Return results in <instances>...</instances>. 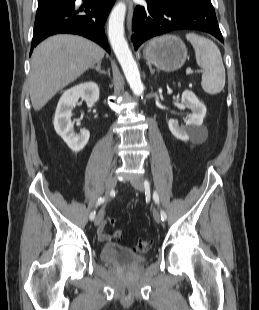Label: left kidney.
<instances>
[{
	"mask_svg": "<svg viewBox=\"0 0 259 310\" xmlns=\"http://www.w3.org/2000/svg\"><path fill=\"white\" fill-rule=\"evenodd\" d=\"M182 104L191 109V114L188 120L185 121V126H179L175 119H170L168 122L171 133L179 140L189 141L198 137L203 119L206 115L205 105L198 100L196 95L189 90L182 93Z\"/></svg>",
	"mask_w": 259,
	"mask_h": 310,
	"instance_id": "left-kidney-1",
	"label": "left kidney"
}]
</instances>
